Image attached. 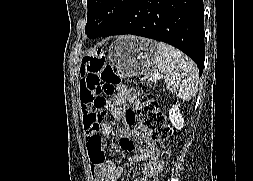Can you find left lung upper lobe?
Instances as JSON below:
<instances>
[{
    "mask_svg": "<svg viewBox=\"0 0 253 181\" xmlns=\"http://www.w3.org/2000/svg\"><path fill=\"white\" fill-rule=\"evenodd\" d=\"M131 0H88L85 33L96 38L112 27L128 7Z\"/></svg>",
    "mask_w": 253,
    "mask_h": 181,
    "instance_id": "5c2ea615",
    "label": "left lung upper lobe"
}]
</instances>
